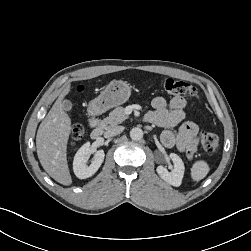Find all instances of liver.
I'll return each mask as SVG.
<instances>
[{"mask_svg": "<svg viewBox=\"0 0 251 251\" xmlns=\"http://www.w3.org/2000/svg\"><path fill=\"white\" fill-rule=\"evenodd\" d=\"M71 89L67 85L42 120L36 135L37 155L44 170L58 183L70 185L72 178L67 163V144L71 119L62 107L63 98Z\"/></svg>", "mask_w": 251, "mask_h": 251, "instance_id": "1", "label": "liver"}]
</instances>
